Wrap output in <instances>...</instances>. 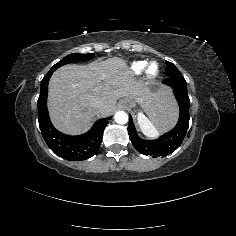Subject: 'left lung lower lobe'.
<instances>
[{
	"label": "left lung lower lobe",
	"mask_w": 236,
	"mask_h": 236,
	"mask_svg": "<svg viewBox=\"0 0 236 236\" xmlns=\"http://www.w3.org/2000/svg\"><path fill=\"white\" fill-rule=\"evenodd\" d=\"M164 84L173 89L180 108L177 125L156 140H144L136 133L132 118H129L128 133L134 147L142 154L152 157L166 156L174 152L182 143L189 126L190 100L187 83L183 76L167 77Z\"/></svg>",
	"instance_id": "1"
}]
</instances>
